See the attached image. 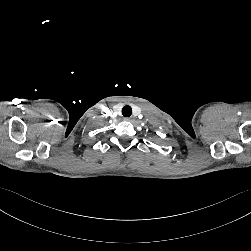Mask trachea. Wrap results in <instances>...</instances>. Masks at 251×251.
Instances as JSON below:
<instances>
[{"mask_svg": "<svg viewBox=\"0 0 251 251\" xmlns=\"http://www.w3.org/2000/svg\"><path fill=\"white\" fill-rule=\"evenodd\" d=\"M122 114L124 117H130L132 114V108L129 105H126L122 108Z\"/></svg>", "mask_w": 251, "mask_h": 251, "instance_id": "trachea-1", "label": "trachea"}]
</instances>
